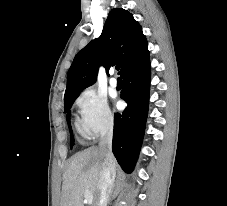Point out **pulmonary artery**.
I'll use <instances>...</instances> for the list:
<instances>
[{
  "label": "pulmonary artery",
  "instance_id": "e3ab8cb5",
  "mask_svg": "<svg viewBox=\"0 0 227 206\" xmlns=\"http://www.w3.org/2000/svg\"><path fill=\"white\" fill-rule=\"evenodd\" d=\"M109 83L112 87H116L117 86V79L115 77H111L109 80Z\"/></svg>",
  "mask_w": 227,
  "mask_h": 206
}]
</instances>
